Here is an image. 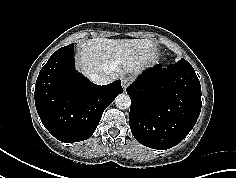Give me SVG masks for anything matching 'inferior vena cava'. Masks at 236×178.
Masks as SVG:
<instances>
[{
  "label": "inferior vena cava",
  "instance_id": "1",
  "mask_svg": "<svg viewBox=\"0 0 236 178\" xmlns=\"http://www.w3.org/2000/svg\"><path fill=\"white\" fill-rule=\"evenodd\" d=\"M90 78L98 85H107L112 82V78L105 74H93Z\"/></svg>",
  "mask_w": 236,
  "mask_h": 178
}]
</instances>
